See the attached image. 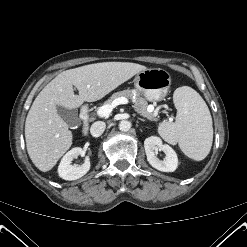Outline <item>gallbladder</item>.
Instances as JSON below:
<instances>
[{
    "instance_id": "bac80fb5",
    "label": "gallbladder",
    "mask_w": 247,
    "mask_h": 247,
    "mask_svg": "<svg viewBox=\"0 0 247 247\" xmlns=\"http://www.w3.org/2000/svg\"><path fill=\"white\" fill-rule=\"evenodd\" d=\"M57 113L69 126L77 127L81 125V120L75 109H66L62 106H57Z\"/></svg>"
}]
</instances>
